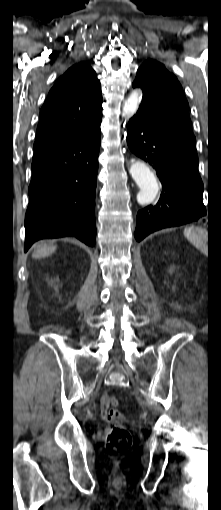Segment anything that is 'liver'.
I'll list each match as a JSON object with an SVG mask.
<instances>
[{"label":"liver","mask_w":221,"mask_h":510,"mask_svg":"<svg viewBox=\"0 0 221 510\" xmlns=\"http://www.w3.org/2000/svg\"><path fill=\"white\" fill-rule=\"evenodd\" d=\"M56 250V245H48L46 243H39L35 245L34 252H33V258L34 259H40L47 257L54 253Z\"/></svg>","instance_id":"obj_1"}]
</instances>
